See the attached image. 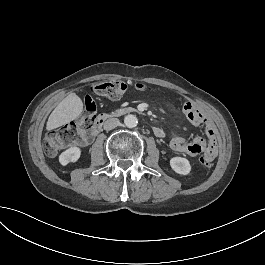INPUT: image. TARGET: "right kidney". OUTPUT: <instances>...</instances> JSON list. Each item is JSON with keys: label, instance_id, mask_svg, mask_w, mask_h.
<instances>
[{"label": "right kidney", "instance_id": "obj_1", "mask_svg": "<svg viewBox=\"0 0 265 265\" xmlns=\"http://www.w3.org/2000/svg\"><path fill=\"white\" fill-rule=\"evenodd\" d=\"M82 149L79 146H71L65 149L59 156L58 162L61 166L76 163L81 157Z\"/></svg>", "mask_w": 265, "mask_h": 265}]
</instances>
